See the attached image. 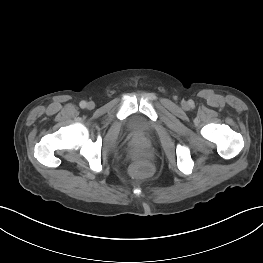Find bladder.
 <instances>
[{"instance_id": "obj_1", "label": "bladder", "mask_w": 263, "mask_h": 263, "mask_svg": "<svg viewBox=\"0 0 263 263\" xmlns=\"http://www.w3.org/2000/svg\"><path fill=\"white\" fill-rule=\"evenodd\" d=\"M127 129L130 134L138 138H148L153 132L151 123L139 115H134L129 118Z\"/></svg>"}]
</instances>
